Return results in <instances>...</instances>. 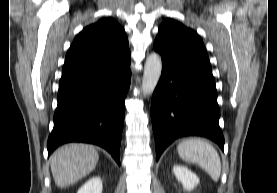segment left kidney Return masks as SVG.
<instances>
[{
  "label": "left kidney",
  "mask_w": 277,
  "mask_h": 193,
  "mask_svg": "<svg viewBox=\"0 0 277 193\" xmlns=\"http://www.w3.org/2000/svg\"><path fill=\"white\" fill-rule=\"evenodd\" d=\"M173 172L177 180L182 183L187 191L193 190L199 183L198 176L191 170L182 165H174Z\"/></svg>",
  "instance_id": "5707ae66"
}]
</instances>
